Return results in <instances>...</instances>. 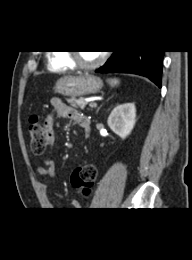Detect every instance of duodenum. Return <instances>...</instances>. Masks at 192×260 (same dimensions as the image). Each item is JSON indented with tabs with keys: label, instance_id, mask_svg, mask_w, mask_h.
I'll return each mask as SVG.
<instances>
[{
	"label": "duodenum",
	"instance_id": "obj_1",
	"mask_svg": "<svg viewBox=\"0 0 192 260\" xmlns=\"http://www.w3.org/2000/svg\"><path fill=\"white\" fill-rule=\"evenodd\" d=\"M81 127H82L86 132H88V131H89V128H90V122H88V121H83V122L81 123Z\"/></svg>",
	"mask_w": 192,
	"mask_h": 260
}]
</instances>
